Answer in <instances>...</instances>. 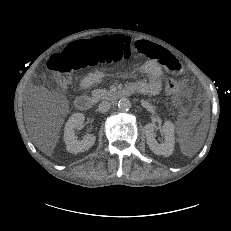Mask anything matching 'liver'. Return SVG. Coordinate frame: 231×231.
Returning <instances> with one entry per match:
<instances>
[{"label": "liver", "mask_w": 231, "mask_h": 231, "mask_svg": "<svg viewBox=\"0 0 231 231\" xmlns=\"http://www.w3.org/2000/svg\"><path fill=\"white\" fill-rule=\"evenodd\" d=\"M38 147L40 150L44 151V152H47V154H51V151L53 150L54 146H51L49 148V146H45V145H42L41 143H37Z\"/></svg>", "instance_id": "6515ba94"}]
</instances>
